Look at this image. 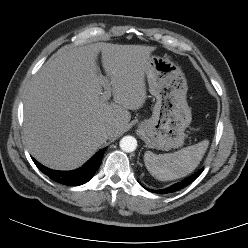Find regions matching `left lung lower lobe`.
<instances>
[{
    "mask_svg": "<svg viewBox=\"0 0 248 248\" xmlns=\"http://www.w3.org/2000/svg\"><path fill=\"white\" fill-rule=\"evenodd\" d=\"M203 169H200L199 171H197L196 173L192 174L191 176L185 178L184 180L177 182L167 188L164 189H160V190H151V189H147L150 192H154L157 194H168V193H173L176 191H179L183 188H185L186 186H188L189 184H191L201 173H202Z\"/></svg>",
    "mask_w": 248,
    "mask_h": 248,
    "instance_id": "left-lung-lower-lobe-1",
    "label": "left lung lower lobe"
}]
</instances>
